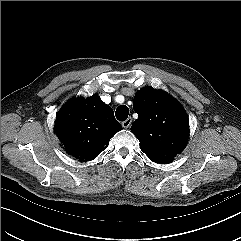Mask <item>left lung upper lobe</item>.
Here are the masks:
<instances>
[{"label": "left lung upper lobe", "mask_w": 241, "mask_h": 241, "mask_svg": "<svg viewBox=\"0 0 241 241\" xmlns=\"http://www.w3.org/2000/svg\"><path fill=\"white\" fill-rule=\"evenodd\" d=\"M138 119L131 131L153 162L170 163L186 146L189 120L182 106L167 92L144 87L134 96Z\"/></svg>", "instance_id": "5c2ea615"}]
</instances>
